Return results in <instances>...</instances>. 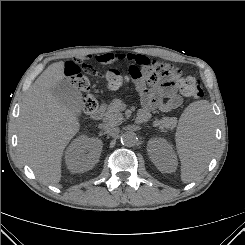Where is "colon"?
<instances>
[{
    "mask_svg": "<svg viewBox=\"0 0 245 245\" xmlns=\"http://www.w3.org/2000/svg\"><path fill=\"white\" fill-rule=\"evenodd\" d=\"M86 59L87 57H79L67 63L65 75L73 86L83 93L82 110L84 113L90 114L97 108V101L90 93V82L82 73V69L88 74L103 76L109 89L120 88L128 77L116 69H110L106 73L101 74L94 67L86 64ZM128 71L129 76H136L139 72L136 67L131 65L128 66ZM150 80L153 82L166 80L175 85L185 97L199 99L203 96L200 80L184 76L179 68L172 65L155 63L150 74Z\"/></svg>",
    "mask_w": 245,
    "mask_h": 245,
    "instance_id": "1",
    "label": "colon"
}]
</instances>
